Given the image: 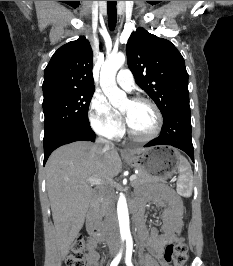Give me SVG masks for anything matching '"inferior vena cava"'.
Returning <instances> with one entry per match:
<instances>
[{
	"mask_svg": "<svg viewBox=\"0 0 233 266\" xmlns=\"http://www.w3.org/2000/svg\"><path fill=\"white\" fill-rule=\"evenodd\" d=\"M98 144L103 145L106 149L110 146H113V143L105 140L103 138H98L96 140ZM104 196H105V229L106 231L113 237L116 238L117 236V219L115 215V208L113 202V191L109 186H106L104 189ZM116 245H119L118 240H116Z\"/></svg>",
	"mask_w": 233,
	"mask_h": 266,
	"instance_id": "602c4592",
	"label": "inferior vena cava"
}]
</instances>
